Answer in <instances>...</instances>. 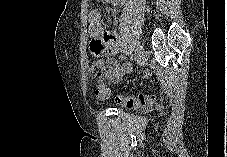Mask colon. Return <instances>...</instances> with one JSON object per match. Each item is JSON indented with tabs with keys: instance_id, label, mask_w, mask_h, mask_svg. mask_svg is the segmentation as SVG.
Returning a JSON list of instances; mask_svg holds the SVG:
<instances>
[{
	"instance_id": "obj_1",
	"label": "colon",
	"mask_w": 227,
	"mask_h": 157,
	"mask_svg": "<svg viewBox=\"0 0 227 157\" xmlns=\"http://www.w3.org/2000/svg\"><path fill=\"white\" fill-rule=\"evenodd\" d=\"M99 55V54H96ZM104 63L102 60L97 59L94 60L90 65V73L94 77H101L104 73ZM111 95L110 88L104 84L99 83L95 87V96L99 100H107ZM116 102L119 104H123L129 109H136L145 106H152L156 103L155 96L146 95V94H138L136 96H117Z\"/></svg>"
}]
</instances>
